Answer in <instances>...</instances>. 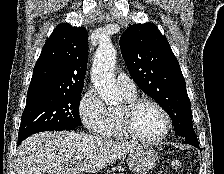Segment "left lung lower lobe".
Here are the masks:
<instances>
[{"label": "left lung lower lobe", "instance_id": "obj_1", "mask_svg": "<svg viewBox=\"0 0 224 174\" xmlns=\"http://www.w3.org/2000/svg\"><path fill=\"white\" fill-rule=\"evenodd\" d=\"M184 141H185V143H187L188 142V140L187 139H184ZM197 148H199V143L197 144Z\"/></svg>", "mask_w": 224, "mask_h": 174}]
</instances>
